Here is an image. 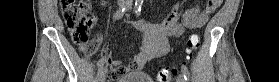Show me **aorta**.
Instances as JSON below:
<instances>
[{"mask_svg":"<svg viewBox=\"0 0 279 82\" xmlns=\"http://www.w3.org/2000/svg\"><path fill=\"white\" fill-rule=\"evenodd\" d=\"M142 0H136V4L138 5V6H140L141 4H142Z\"/></svg>","mask_w":279,"mask_h":82,"instance_id":"1","label":"aorta"}]
</instances>
